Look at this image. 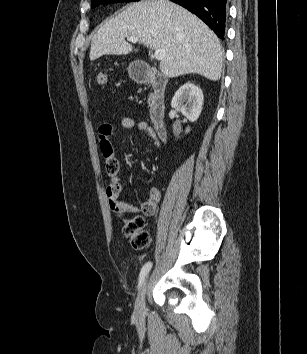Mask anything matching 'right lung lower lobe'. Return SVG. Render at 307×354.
I'll return each instance as SVG.
<instances>
[{
	"mask_svg": "<svg viewBox=\"0 0 307 354\" xmlns=\"http://www.w3.org/2000/svg\"><path fill=\"white\" fill-rule=\"evenodd\" d=\"M204 21L220 39L224 38L227 0H171Z\"/></svg>",
	"mask_w": 307,
	"mask_h": 354,
	"instance_id": "98d812e1",
	"label": "right lung lower lobe"
}]
</instances>
